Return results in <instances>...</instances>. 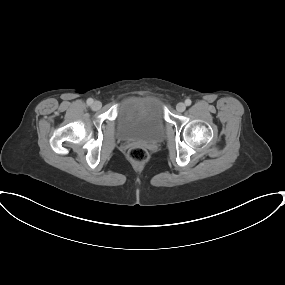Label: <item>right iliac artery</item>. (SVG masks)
<instances>
[{
  "mask_svg": "<svg viewBox=\"0 0 285 285\" xmlns=\"http://www.w3.org/2000/svg\"><path fill=\"white\" fill-rule=\"evenodd\" d=\"M87 104H88V105L93 104V99H92V98H89V99L87 100Z\"/></svg>",
  "mask_w": 285,
  "mask_h": 285,
  "instance_id": "right-iliac-artery-1",
  "label": "right iliac artery"
}]
</instances>
